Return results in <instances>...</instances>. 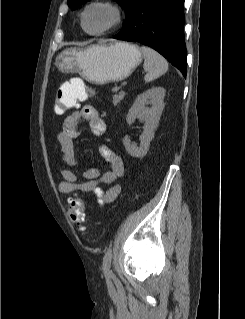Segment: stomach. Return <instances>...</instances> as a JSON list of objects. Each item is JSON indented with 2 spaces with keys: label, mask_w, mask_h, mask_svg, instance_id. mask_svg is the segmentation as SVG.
I'll return each instance as SVG.
<instances>
[{
  "label": "stomach",
  "mask_w": 245,
  "mask_h": 319,
  "mask_svg": "<svg viewBox=\"0 0 245 319\" xmlns=\"http://www.w3.org/2000/svg\"><path fill=\"white\" fill-rule=\"evenodd\" d=\"M141 61L137 45L113 42L66 49L56 57L55 65L63 73H79L92 83L106 84L127 78Z\"/></svg>",
  "instance_id": "obj_1"
}]
</instances>
